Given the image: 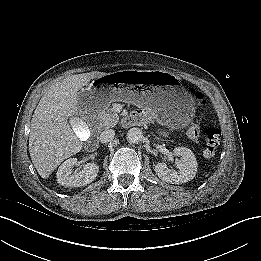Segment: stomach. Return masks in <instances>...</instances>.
I'll list each match as a JSON object with an SVG mask.
<instances>
[{
	"label": "stomach",
	"mask_w": 261,
	"mask_h": 261,
	"mask_svg": "<svg viewBox=\"0 0 261 261\" xmlns=\"http://www.w3.org/2000/svg\"><path fill=\"white\" fill-rule=\"evenodd\" d=\"M84 110L100 112L112 101L132 102L154 109L161 123L173 129L186 127L194 104L176 76L160 70H123L95 78L79 92Z\"/></svg>",
	"instance_id": "1"
}]
</instances>
